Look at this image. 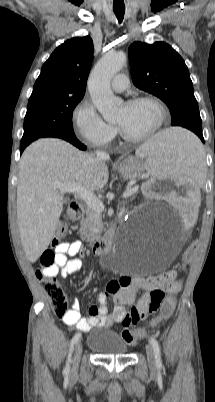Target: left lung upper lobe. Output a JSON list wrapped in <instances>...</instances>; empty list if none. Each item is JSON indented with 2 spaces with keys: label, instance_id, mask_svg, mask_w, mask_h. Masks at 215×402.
<instances>
[{
  "label": "left lung upper lobe",
  "instance_id": "1",
  "mask_svg": "<svg viewBox=\"0 0 215 402\" xmlns=\"http://www.w3.org/2000/svg\"><path fill=\"white\" fill-rule=\"evenodd\" d=\"M134 85L160 98L168 106L172 126L202 135V121L188 68L167 43L134 42L128 49Z\"/></svg>",
  "mask_w": 215,
  "mask_h": 402
}]
</instances>
